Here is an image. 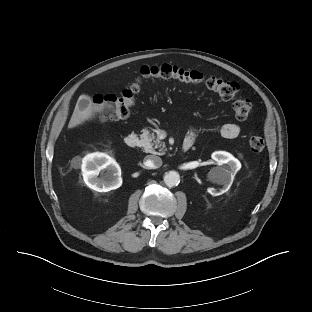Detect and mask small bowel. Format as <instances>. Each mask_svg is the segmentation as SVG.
Masks as SVG:
<instances>
[{"label": "small bowel", "instance_id": "c3829d8e", "mask_svg": "<svg viewBox=\"0 0 312 312\" xmlns=\"http://www.w3.org/2000/svg\"><path fill=\"white\" fill-rule=\"evenodd\" d=\"M239 134H240V127L235 123H232V122L225 123L221 127V135H222V137H224L226 139L237 138L239 136ZM195 140H196V131L194 129H190L187 132L184 141H189L193 144L195 142Z\"/></svg>", "mask_w": 312, "mask_h": 312}]
</instances>
